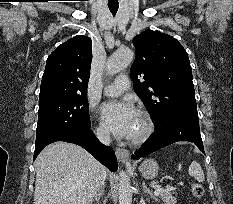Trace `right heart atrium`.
<instances>
[{
  "label": "right heart atrium",
  "mask_w": 233,
  "mask_h": 204,
  "mask_svg": "<svg viewBox=\"0 0 233 204\" xmlns=\"http://www.w3.org/2000/svg\"><path fill=\"white\" fill-rule=\"evenodd\" d=\"M94 133L98 140L102 142H106L108 140V133L102 126H97Z\"/></svg>",
  "instance_id": "right-heart-atrium-1"
}]
</instances>
